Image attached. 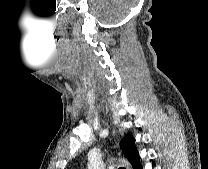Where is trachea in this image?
I'll return each instance as SVG.
<instances>
[{
	"instance_id": "1",
	"label": "trachea",
	"mask_w": 208,
	"mask_h": 169,
	"mask_svg": "<svg viewBox=\"0 0 208 169\" xmlns=\"http://www.w3.org/2000/svg\"><path fill=\"white\" fill-rule=\"evenodd\" d=\"M119 169H125L124 167H120Z\"/></svg>"
}]
</instances>
